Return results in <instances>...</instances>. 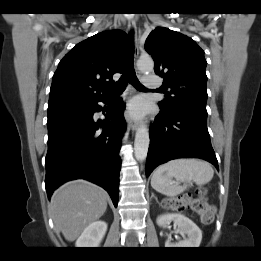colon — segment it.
<instances>
[{
  "label": "colon",
  "instance_id": "1",
  "mask_svg": "<svg viewBox=\"0 0 261 261\" xmlns=\"http://www.w3.org/2000/svg\"><path fill=\"white\" fill-rule=\"evenodd\" d=\"M205 194V189L199 187L195 198L191 195L170 197L164 200L163 206L172 211H181L190 207L200 216L202 223L210 224L214 219V207L208 204Z\"/></svg>",
  "mask_w": 261,
  "mask_h": 261
}]
</instances>
